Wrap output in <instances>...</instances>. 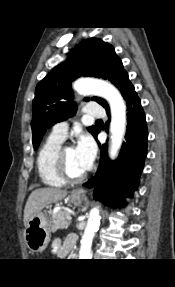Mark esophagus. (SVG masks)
<instances>
[{
  "label": "esophagus",
  "mask_w": 175,
  "mask_h": 287,
  "mask_svg": "<svg viewBox=\"0 0 175 287\" xmlns=\"http://www.w3.org/2000/svg\"><path fill=\"white\" fill-rule=\"evenodd\" d=\"M74 193H75V194L84 195V194H85V191H84L83 189L79 188V189L74 190Z\"/></svg>",
  "instance_id": "obj_1"
}]
</instances>
